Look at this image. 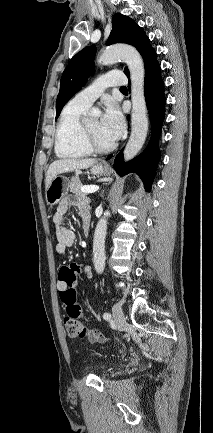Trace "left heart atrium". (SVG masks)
Listing matches in <instances>:
<instances>
[{
    "mask_svg": "<svg viewBox=\"0 0 213 433\" xmlns=\"http://www.w3.org/2000/svg\"><path fill=\"white\" fill-rule=\"evenodd\" d=\"M100 126L111 141L119 139L124 132V118L114 102L106 103L104 114L100 119Z\"/></svg>",
    "mask_w": 213,
    "mask_h": 433,
    "instance_id": "1",
    "label": "left heart atrium"
}]
</instances>
